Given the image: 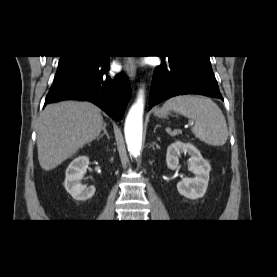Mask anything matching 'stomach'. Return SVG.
<instances>
[{
	"label": "stomach",
	"instance_id": "stomach-1",
	"mask_svg": "<svg viewBox=\"0 0 277 277\" xmlns=\"http://www.w3.org/2000/svg\"><path fill=\"white\" fill-rule=\"evenodd\" d=\"M165 114H167V112H164L162 109L155 110V115H157V116H162Z\"/></svg>",
	"mask_w": 277,
	"mask_h": 277
}]
</instances>
